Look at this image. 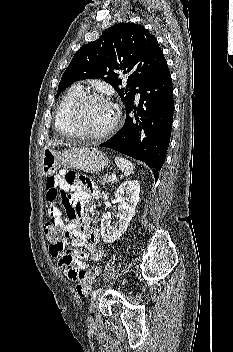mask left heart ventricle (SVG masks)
<instances>
[{"mask_svg": "<svg viewBox=\"0 0 233 352\" xmlns=\"http://www.w3.org/2000/svg\"><path fill=\"white\" fill-rule=\"evenodd\" d=\"M113 117L114 111L108 102L92 99L80 107L77 124L82 131L100 132L111 124Z\"/></svg>", "mask_w": 233, "mask_h": 352, "instance_id": "obj_1", "label": "left heart ventricle"}]
</instances>
